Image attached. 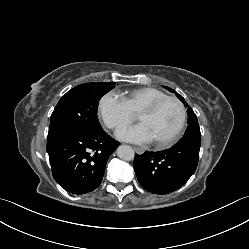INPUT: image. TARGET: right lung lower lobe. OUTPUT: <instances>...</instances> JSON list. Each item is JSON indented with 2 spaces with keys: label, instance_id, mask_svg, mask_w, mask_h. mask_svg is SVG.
Here are the masks:
<instances>
[{
  "label": "right lung lower lobe",
  "instance_id": "right-lung-lower-lobe-1",
  "mask_svg": "<svg viewBox=\"0 0 249 249\" xmlns=\"http://www.w3.org/2000/svg\"><path fill=\"white\" fill-rule=\"evenodd\" d=\"M118 145L103 129L72 133L47 142L54 179L73 194L93 191L100 185L106 162Z\"/></svg>",
  "mask_w": 249,
  "mask_h": 249
}]
</instances>
